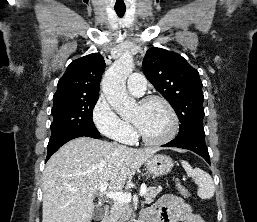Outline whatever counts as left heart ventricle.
<instances>
[{"label":"left heart ventricle","mask_w":257,"mask_h":222,"mask_svg":"<svg viewBox=\"0 0 257 222\" xmlns=\"http://www.w3.org/2000/svg\"><path fill=\"white\" fill-rule=\"evenodd\" d=\"M140 133L148 139H159L171 129V117L166 107L160 102L135 107L130 118Z\"/></svg>","instance_id":"obj_1"}]
</instances>
